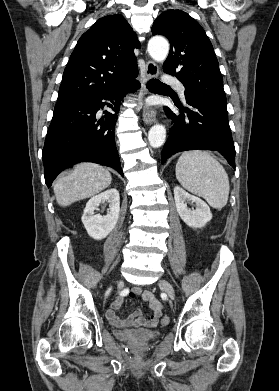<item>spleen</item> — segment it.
<instances>
[{"label":"spleen","mask_w":279,"mask_h":391,"mask_svg":"<svg viewBox=\"0 0 279 391\" xmlns=\"http://www.w3.org/2000/svg\"><path fill=\"white\" fill-rule=\"evenodd\" d=\"M175 172L185 189L203 197L211 207L222 209L227 204L230 190L228 175L209 152H184L177 161Z\"/></svg>","instance_id":"1"}]
</instances>
